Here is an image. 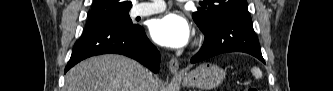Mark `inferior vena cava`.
Segmentation results:
<instances>
[{
	"label": "inferior vena cava",
	"mask_w": 333,
	"mask_h": 91,
	"mask_svg": "<svg viewBox=\"0 0 333 91\" xmlns=\"http://www.w3.org/2000/svg\"><path fill=\"white\" fill-rule=\"evenodd\" d=\"M154 79L151 75H148L146 81L143 84L142 91H153Z\"/></svg>",
	"instance_id": "602c4592"
}]
</instances>
